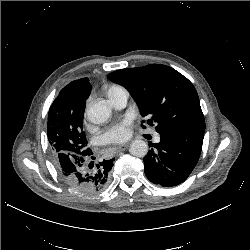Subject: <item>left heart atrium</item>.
Returning a JSON list of instances; mask_svg holds the SVG:
<instances>
[{"label": "left heart atrium", "mask_w": 250, "mask_h": 250, "mask_svg": "<svg viewBox=\"0 0 250 250\" xmlns=\"http://www.w3.org/2000/svg\"><path fill=\"white\" fill-rule=\"evenodd\" d=\"M131 122L130 118H125L111 125L100 135V140L104 144H118L126 141L131 135Z\"/></svg>", "instance_id": "39dd6f15"}]
</instances>
